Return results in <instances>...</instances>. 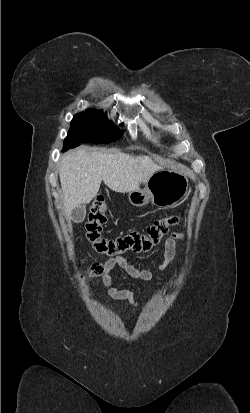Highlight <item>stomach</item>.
<instances>
[{
	"label": "stomach",
	"instance_id": "0dacf381",
	"mask_svg": "<svg viewBox=\"0 0 250 413\" xmlns=\"http://www.w3.org/2000/svg\"><path fill=\"white\" fill-rule=\"evenodd\" d=\"M187 176L176 170H160L146 182L144 189H136L128 193L129 202L142 207L151 202L160 208H169L180 202L188 192Z\"/></svg>",
	"mask_w": 250,
	"mask_h": 413
}]
</instances>
